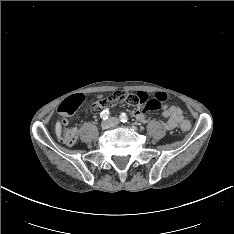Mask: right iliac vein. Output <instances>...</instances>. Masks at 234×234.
<instances>
[{"instance_id":"right-iliac-vein-1","label":"right iliac vein","mask_w":234,"mask_h":234,"mask_svg":"<svg viewBox=\"0 0 234 234\" xmlns=\"http://www.w3.org/2000/svg\"><path fill=\"white\" fill-rule=\"evenodd\" d=\"M111 125H112V123H111L110 120L103 121L102 124H101L103 129H108V128L111 127Z\"/></svg>"}]
</instances>
